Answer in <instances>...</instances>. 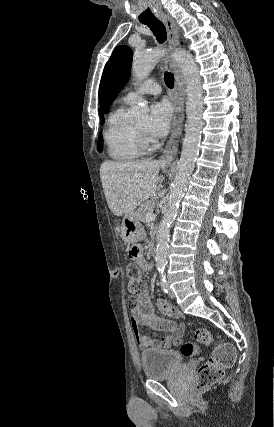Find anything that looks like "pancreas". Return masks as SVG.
I'll use <instances>...</instances> for the list:
<instances>
[{
  "mask_svg": "<svg viewBox=\"0 0 274 427\" xmlns=\"http://www.w3.org/2000/svg\"><path fill=\"white\" fill-rule=\"evenodd\" d=\"M156 204V198H152V200H146L141 204L139 210H137V217L140 221H146V214L148 212H153Z\"/></svg>",
  "mask_w": 274,
  "mask_h": 427,
  "instance_id": "cf45deb5",
  "label": "pancreas"
}]
</instances>
